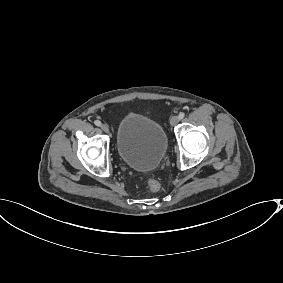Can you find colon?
<instances>
[{
    "label": "colon",
    "mask_w": 283,
    "mask_h": 283,
    "mask_svg": "<svg viewBox=\"0 0 283 283\" xmlns=\"http://www.w3.org/2000/svg\"><path fill=\"white\" fill-rule=\"evenodd\" d=\"M147 188L150 192H157L160 189V183L151 177L147 181Z\"/></svg>",
    "instance_id": "1"
}]
</instances>
